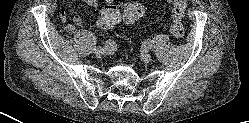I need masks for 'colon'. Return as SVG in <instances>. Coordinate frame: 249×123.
I'll list each match as a JSON object with an SVG mask.
<instances>
[{"mask_svg":"<svg viewBox=\"0 0 249 123\" xmlns=\"http://www.w3.org/2000/svg\"><path fill=\"white\" fill-rule=\"evenodd\" d=\"M170 1L173 6L170 31L175 38L182 39L185 35L183 19L185 16L187 0ZM144 13L145 7L139 2H129L122 6L115 3L106 4L100 12L98 24L102 28H111L121 19L127 23H135L144 15Z\"/></svg>","mask_w":249,"mask_h":123,"instance_id":"colon-1","label":"colon"}]
</instances>
